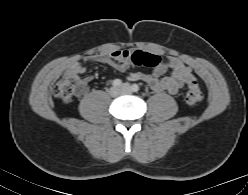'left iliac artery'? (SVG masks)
<instances>
[{
	"label": "left iliac artery",
	"mask_w": 248,
	"mask_h": 195,
	"mask_svg": "<svg viewBox=\"0 0 248 195\" xmlns=\"http://www.w3.org/2000/svg\"><path fill=\"white\" fill-rule=\"evenodd\" d=\"M131 88H132L133 92H138L139 91V86L137 84H133Z\"/></svg>",
	"instance_id": "left-iliac-artery-1"
}]
</instances>
